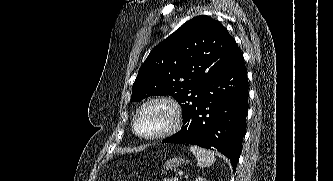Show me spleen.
I'll return each instance as SVG.
<instances>
[{
	"mask_svg": "<svg viewBox=\"0 0 333 181\" xmlns=\"http://www.w3.org/2000/svg\"><path fill=\"white\" fill-rule=\"evenodd\" d=\"M190 150L195 155L197 164L200 167H209L215 162V155L212 151L198 146H191Z\"/></svg>",
	"mask_w": 333,
	"mask_h": 181,
	"instance_id": "spleen-1",
	"label": "spleen"
}]
</instances>
